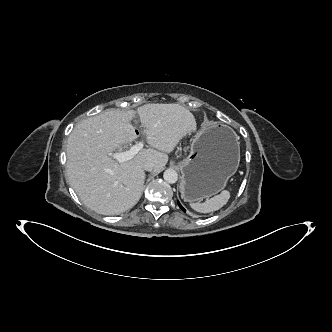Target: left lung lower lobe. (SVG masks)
Here are the masks:
<instances>
[{
    "label": "left lung lower lobe",
    "instance_id": "0a47b994",
    "mask_svg": "<svg viewBox=\"0 0 332 332\" xmlns=\"http://www.w3.org/2000/svg\"><path fill=\"white\" fill-rule=\"evenodd\" d=\"M178 205H179V207H180L183 211H185V209L182 207V205L180 204L179 201H178Z\"/></svg>",
    "mask_w": 332,
    "mask_h": 332
}]
</instances>
